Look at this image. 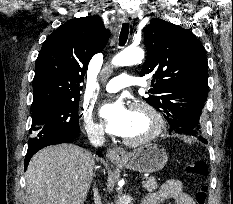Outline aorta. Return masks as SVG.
<instances>
[{
  "label": "aorta",
  "instance_id": "762f6f07",
  "mask_svg": "<svg viewBox=\"0 0 233 204\" xmlns=\"http://www.w3.org/2000/svg\"><path fill=\"white\" fill-rule=\"evenodd\" d=\"M144 58V51L139 47H128L118 53L113 59L114 66H130L140 63Z\"/></svg>",
  "mask_w": 233,
  "mask_h": 204
}]
</instances>
